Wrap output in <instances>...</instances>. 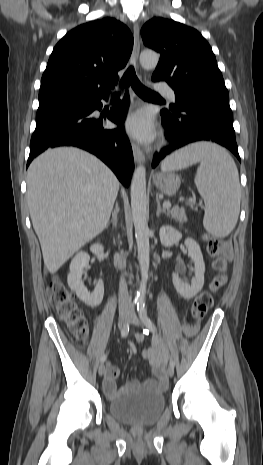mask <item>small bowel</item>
<instances>
[{
	"label": "small bowel",
	"mask_w": 263,
	"mask_h": 465,
	"mask_svg": "<svg viewBox=\"0 0 263 465\" xmlns=\"http://www.w3.org/2000/svg\"><path fill=\"white\" fill-rule=\"evenodd\" d=\"M204 322H198L196 329L188 328L187 325H182V330L184 334H203ZM135 341L137 343H142L144 341V336L142 334L135 335ZM143 358L150 364L154 379H148L144 382H139L136 380L130 381L126 387L117 389L116 379L119 377L120 371L115 366H108L105 378L103 381V388L105 393L109 397H115L120 393L125 392L128 388L137 387L143 385L149 389H164L167 386V377L165 372V363L168 358V351L164 345L163 340L160 337H154L152 340V347L144 349L142 352Z\"/></svg>",
	"instance_id": "obj_1"
}]
</instances>
